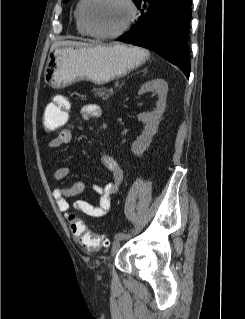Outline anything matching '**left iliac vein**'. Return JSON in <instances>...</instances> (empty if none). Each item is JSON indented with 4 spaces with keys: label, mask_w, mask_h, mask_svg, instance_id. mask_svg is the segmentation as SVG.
<instances>
[{
    "label": "left iliac vein",
    "mask_w": 245,
    "mask_h": 319,
    "mask_svg": "<svg viewBox=\"0 0 245 319\" xmlns=\"http://www.w3.org/2000/svg\"><path fill=\"white\" fill-rule=\"evenodd\" d=\"M121 240L122 239L117 238L113 242L112 249H111V257L115 256V254L119 251V249L121 247Z\"/></svg>",
    "instance_id": "4c4485c4"
}]
</instances>
